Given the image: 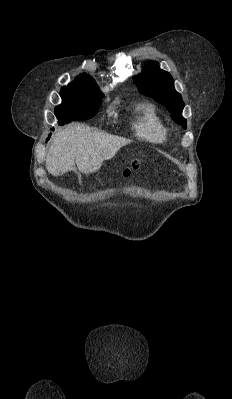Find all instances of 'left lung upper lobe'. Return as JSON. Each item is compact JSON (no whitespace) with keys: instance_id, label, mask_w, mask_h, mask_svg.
Wrapping results in <instances>:
<instances>
[{"instance_id":"left-lung-upper-lobe-1","label":"left lung upper lobe","mask_w":232,"mask_h":399,"mask_svg":"<svg viewBox=\"0 0 232 399\" xmlns=\"http://www.w3.org/2000/svg\"><path fill=\"white\" fill-rule=\"evenodd\" d=\"M138 89L164 105L176 123L186 128V120L181 116L184 102L174 89L172 76L159 68L155 62H149L142 72L134 77Z\"/></svg>"}]
</instances>
